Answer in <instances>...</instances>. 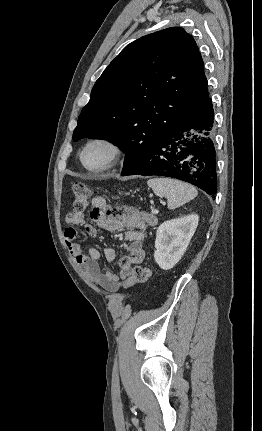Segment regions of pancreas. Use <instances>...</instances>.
I'll list each match as a JSON object with an SVG mask.
<instances>
[{"mask_svg": "<svg viewBox=\"0 0 262 431\" xmlns=\"http://www.w3.org/2000/svg\"><path fill=\"white\" fill-rule=\"evenodd\" d=\"M152 218H153V215H149V216H147L146 221L148 223H152Z\"/></svg>", "mask_w": 262, "mask_h": 431, "instance_id": "1", "label": "pancreas"}]
</instances>
